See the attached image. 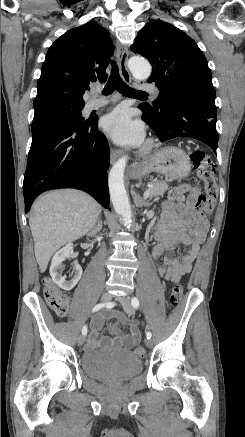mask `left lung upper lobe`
I'll list each match as a JSON object with an SVG mask.
<instances>
[{
	"label": "left lung upper lobe",
	"mask_w": 245,
	"mask_h": 437,
	"mask_svg": "<svg viewBox=\"0 0 245 437\" xmlns=\"http://www.w3.org/2000/svg\"><path fill=\"white\" fill-rule=\"evenodd\" d=\"M131 50L146 57L152 65L148 82L159 89L156 101L140 108L160 109L161 99L184 96L200 100L216 109L215 88L208 62L193 39L160 19H151L142 28Z\"/></svg>",
	"instance_id": "1"
}]
</instances>
